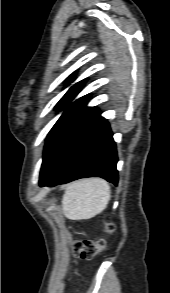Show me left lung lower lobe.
<instances>
[{
    "mask_svg": "<svg viewBox=\"0 0 170 293\" xmlns=\"http://www.w3.org/2000/svg\"><path fill=\"white\" fill-rule=\"evenodd\" d=\"M112 135L107 120L97 111L40 175V186H55L85 177H102L117 185L118 159Z\"/></svg>",
    "mask_w": 170,
    "mask_h": 293,
    "instance_id": "0a47b994",
    "label": "left lung lower lobe"
}]
</instances>
